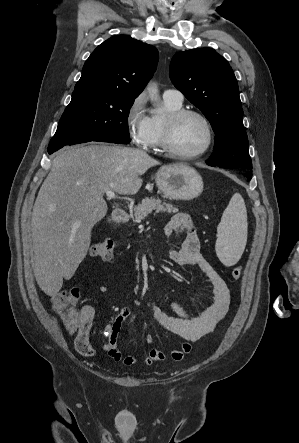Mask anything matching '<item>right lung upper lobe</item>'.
I'll return each instance as SVG.
<instances>
[{
	"instance_id": "right-lung-upper-lobe-1",
	"label": "right lung upper lobe",
	"mask_w": 299,
	"mask_h": 443,
	"mask_svg": "<svg viewBox=\"0 0 299 443\" xmlns=\"http://www.w3.org/2000/svg\"><path fill=\"white\" fill-rule=\"evenodd\" d=\"M157 49L117 35L99 45L86 60L74 91L97 90L136 98L155 72Z\"/></svg>"
}]
</instances>
